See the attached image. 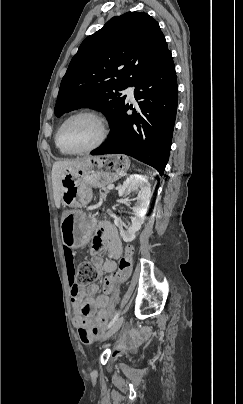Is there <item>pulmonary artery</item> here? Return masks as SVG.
Instances as JSON below:
<instances>
[{"label": "pulmonary artery", "mask_w": 243, "mask_h": 404, "mask_svg": "<svg viewBox=\"0 0 243 404\" xmlns=\"http://www.w3.org/2000/svg\"><path fill=\"white\" fill-rule=\"evenodd\" d=\"M136 89H137L136 86L129 85L123 90V94L127 96L128 100H130L131 102H135Z\"/></svg>", "instance_id": "1"}]
</instances>
